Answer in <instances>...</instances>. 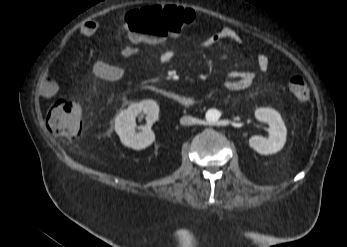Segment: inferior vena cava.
Returning <instances> with one entry per match:
<instances>
[{
	"instance_id": "1",
	"label": "inferior vena cava",
	"mask_w": 347,
	"mask_h": 247,
	"mask_svg": "<svg viewBox=\"0 0 347 247\" xmlns=\"http://www.w3.org/2000/svg\"><path fill=\"white\" fill-rule=\"evenodd\" d=\"M196 118H193L191 116H183L181 119H180V123L182 125H192V124H195L196 123Z\"/></svg>"
}]
</instances>
